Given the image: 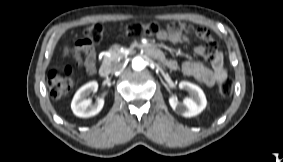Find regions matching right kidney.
I'll return each mask as SVG.
<instances>
[{
    "mask_svg": "<svg viewBox=\"0 0 283 162\" xmlns=\"http://www.w3.org/2000/svg\"><path fill=\"white\" fill-rule=\"evenodd\" d=\"M98 90V83L91 81L82 86L74 95L71 109L73 113L82 118H88L97 115L104 106V99L98 98L95 104L91 103L90 99H87L91 93H95Z\"/></svg>",
    "mask_w": 283,
    "mask_h": 162,
    "instance_id": "ca27d5eb",
    "label": "right kidney"
}]
</instances>
